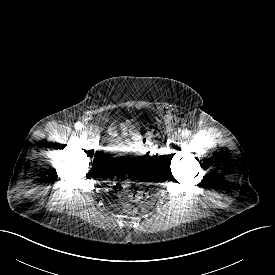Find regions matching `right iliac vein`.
<instances>
[{
  "mask_svg": "<svg viewBox=\"0 0 275 275\" xmlns=\"http://www.w3.org/2000/svg\"><path fill=\"white\" fill-rule=\"evenodd\" d=\"M84 130H85V132H87V133H91V132H92V127H90V126H85V127H84Z\"/></svg>",
  "mask_w": 275,
  "mask_h": 275,
  "instance_id": "obj_1",
  "label": "right iliac vein"
}]
</instances>
